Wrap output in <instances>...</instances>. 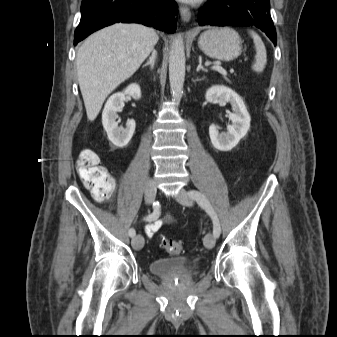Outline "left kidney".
Wrapping results in <instances>:
<instances>
[{
    "mask_svg": "<svg viewBox=\"0 0 337 337\" xmlns=\"http://www.w3.org/2000/svg\"><path fill=\"white\" fill-rule=\"evenodd\" d=\"M205 98L210 103L229 102L233 112L229 114L231 125L227 127L226 133H220L219 127L212 124L209 127V136L214 148L220 151H230L250 128V115L242 98L232 89L217 85L209 88Z\"/></svg>",
    "mask_w": 337,
    "mask_h": 337,
    "instance_id": "5707ae66",
    "label": "left kidney"
}]
</instances>
